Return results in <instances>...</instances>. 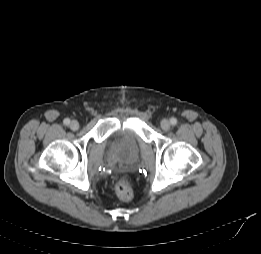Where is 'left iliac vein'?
<instances>
[{"mask_svg": "<svg viewBox=\"0 0 261 254\" xmlns=\"http://www.w3.org/2000/svg\"><path fill=\"white\" fill-rule=\"evenodd\" d=\"M161 125V128L164 130V131H168L171 127V124L170 122L167 120V119H163L160 123Z\"/></svg>", "mask_w": 261, "mask_h": 254, "instance_id": "obj_1", "label": "left iliac vein"}]
</instances>
